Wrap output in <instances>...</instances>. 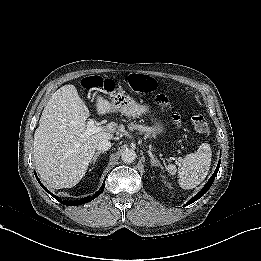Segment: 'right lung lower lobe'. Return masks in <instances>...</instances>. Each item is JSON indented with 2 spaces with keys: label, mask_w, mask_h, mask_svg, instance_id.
I'll return each instance as SVG.
<instances>
[{
  "label": "right lung lower lobe",
  "mask_w": 261,
  "mask_h": 261,
  "mask_svg": "<svg viewBox=\"0 0 261 261\" xmlns=\"http://www.w3.org/2000/svg\"><path fill=\"white\" fill-rule=\"evenodd\" d=\"M38 181H39V180H38ZM39 183H40V181H39ZM41 186H42L48 193H50L53 197H55L58 201H60L61 203L65 204V205H70V206H74V205L76 206V205L85 204V203H87V202L93 200V198H96L98 195H100L101 192H102L103 189H104V185H103V186L101 187L100 191H99V192H96L95 195H93V197H85V198H83V199H81V200H79V201H62V200L58 199L56 196H54L50 191H48L47 188L44 187L42 184H41Z\"/></svg>",
  "instance_id": "1"
}]
</instances>
